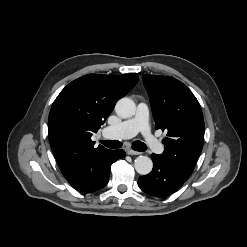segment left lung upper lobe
Wrapping results in <instances>:
<instances>
[{
  "mask_svg": "<svg viewBox=\"0 0 247 247\" xmlns=\"http://www.w3.org/2000/svg\"><path fill=\"white\" fill-rule=\"evenodd\" d=\"M156 129L167 131L161 156L192 173L204 141L201 106L182 82L169 76L143 75Z\"/></svg>",
  "mask_w": 247,
  "mask_h": 247,
  "instance_id": "5c2ea615",
  "label": "left lung upper lobe"
}]
</instances>
